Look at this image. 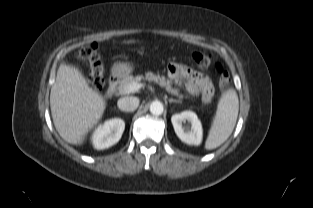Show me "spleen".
<instances>
[{
    "label": "spleen",
    "instance_id": "1",
    "mask_svg": "<svg viewBox=\"0 0 313 208\" xmlns=\"http://www.w3.org/2000/svg\"><path fill=\"white\" fill-rule=\"evenodd\" d=\"M238 112V95L234 89H229L218 102L216 115L205 142L207 150L219 147L229 138L235 127Z\"/></svg>",
    "mask_w": 313,
    "mask_h": 208
}]
</instances>
